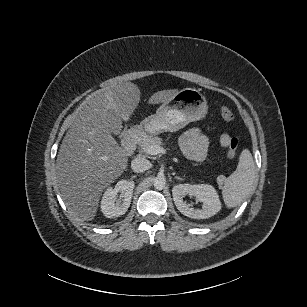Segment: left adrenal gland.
Here are the masks:
<instances>
[{
  "instance_id": "1",
  "label": "left adrenal gland",
  "mask_w": 307,
  "mask_h": 307,
  "mask_svg": "<svg viewBox=\"0 0 307 307\" xmlns=\"http://www.w3.org/2000/svg\"><path fill=\"white\" fill-rule=\"evenodd\" d=\"M176 179L178 180H183L182 178L178 177V176H175Z\"/></svg>"
}]
</instances>
